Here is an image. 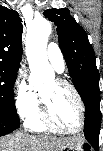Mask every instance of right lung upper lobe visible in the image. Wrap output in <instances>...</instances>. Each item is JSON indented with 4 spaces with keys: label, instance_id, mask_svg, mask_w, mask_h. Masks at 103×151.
Masks as SVG:
<instances>
[{
    "label": "right lung upper lobe",
    "instance_id": "obj_1",
    "mask_svg": "<svg viewBox=\"0 0 103 151\" xmlns=\"http://www.w3.org/2000/svg\"><path fill=\"white\" fill-rule=\"evenodd\" d=\"M22 32L18 13L0 6V64L20 66Z\"/></svg>",
    "mask_w": 103,
    "mask_h": 151
}]
</instances>
